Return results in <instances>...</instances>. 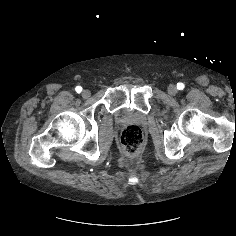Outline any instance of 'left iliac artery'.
I'll return each instance as SVG.
<instances>
[{"instance_id":"obj_1","label":"left iliac artery","mask_w":236,"mask_h":236,"mask_svg":"<svg viewBox=\"0 0 236 236\" xmlns=\"http://www.w3.org/2000/svg\"><path fill=\"white\" fill-rule=\"evenodd\" d=\"M184 87H185V85L183 83H181V82L177 83V89L178 90H183Z\"/></svg>"}]
</instances>
